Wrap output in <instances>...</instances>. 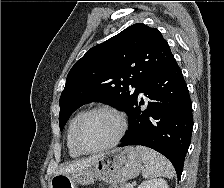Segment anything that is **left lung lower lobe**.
<instances>
[{
  "label": "left lung lower lobe",
  "instance_id": "obj_1",
  "mask_svg": "<svg viewBox=\"0 0 224 188\" xmlns=\"http://www.w3.org/2000/svg\"><path fill=\"white\" fill-rule=\"evenodd\" d=\"M147 98L137 96L129 117V130L119 147L143 145L166 156L178 180L182 174L193 128L192 104L175 58L140 88ZM138 93V95H139Z\"/></svg>",
  "mask_w": 224,
  "mask_h": 188
}]
</instances>
